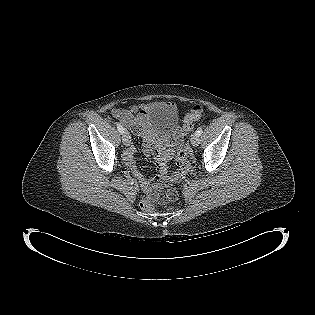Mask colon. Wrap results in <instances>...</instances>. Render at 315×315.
Instances as JSON below:
<instances>
[{
  "label": "colon",
  "instance_id": "5ec220e1",
  "mask_svg": "<svg viewBox=\"0 0 315 315\" xmlns=\"http://www.w3.org/2000/svg\"><path fill=\"white\" fill-rule=\"evenodd\" d=\"M202 113L203 106L201 104H194L184 118L183 125L180 129V139L177 145L176 162L178 165V169L171 173L169 177L170 181L177 182L182 180L189 171V162L187 160L185 138L194 129L195 123L201 118ZM161 183H158L154 186L155 192L158 193V199L160 201L173 200L176 197V192L174 190H170L166 194H160V191L162 189ZM154 198V196H151L143 201L141 207L144 211L152 212L154 210Z\"/></svg>",
  "mask_w": 315,
  "mask_h": 315
}]
</instances>
